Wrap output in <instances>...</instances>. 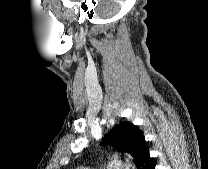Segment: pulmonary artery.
I'll return each instance as SVG.
<instances>
[{"label":"pulmonary artery","instance_id":"obj_1","mask_svg":"<svg viewBox=\"0 0 208 169\" xmlns=\"http://www.w3.org/2000/svg\"><path fill=\"white\" fill-rule=\"evenodd\" d=\"M107 169H128L120 160H111L106 167ZM79 169H88L87 166L79 167Z\"/></svg>","mask_w":208,"mask_h":169}]
</instances>
